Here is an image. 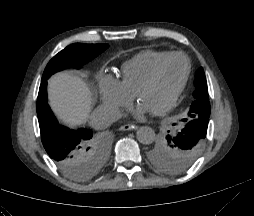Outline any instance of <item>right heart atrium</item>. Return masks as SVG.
Instances as JSON below:
<instances>
[{"mask_svg":"<svg viewBox=\"0 0 254 216\" xmlns=\"http://www.w3.org/2000/svg\"><path fill=\"white\" fill-rule=\"evenodd\" d=\"M100 97L105 104H114L119 108H126L132 101V95L126 92L118 81L103 78L100 84Z\"/></svg>","mask_w":254,"mask_h":216,"instance_id":"1","label":"right heart atrium"}]
</instances>
